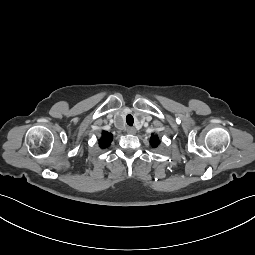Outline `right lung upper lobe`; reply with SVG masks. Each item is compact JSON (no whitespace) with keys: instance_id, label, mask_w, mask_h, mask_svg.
<instances>
[{"instance_id":"obj_1","label":"right lung upper lobe","mask_w":255,"mask_h":255,"mask_svg":"<svg viewBox=\"0 0 255 255\" xmlns=\"http://www.w3.org/2000/svg\"><path fill=\"white\" fill-rule=\"evenodd\" d=\"M112 134L108 133L107 131L102 132V137L99 140V145L101 148H106L111 144L112 141Z\"/></svg>"}]
</instances>
